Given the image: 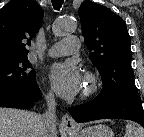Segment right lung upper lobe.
Returning <instances> with one entry per match:
<instances>
[{"mask_svg":"<svg viewBox=\"0 0 144 137\" xmlns=\"http://www.w3.org/2000/svg\"><path fill=\"white\" fill-rule=\"evenodd\" d=\"M43 16L36 0H11L0 10V64L27 57L26 46L39 31Z\"/></svg>","mask_w":144,"mask_h":137,"instance_id":"1","label":"right lung upper lobe"}]
</instances>
